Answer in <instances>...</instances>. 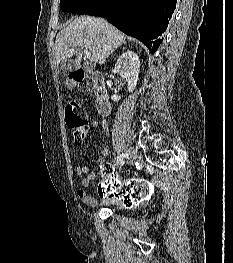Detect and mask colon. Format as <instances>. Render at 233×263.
I'll list each match as a JSON object with an SVG mask.
<instances>
[{
  "label": "colon",
  "instance_id": "colon-1",
  "mask_svg": "<svg viewBox=\"0 0 233 263\" xmlns=\"http://www.w3.org/2000/svg\"><path fill=\"white\" fill-rule=\"evenodd\" d=\"M65 121L73 140L82 142L88 133V120L85 110L76 103H70L65 108ZM104 180L96 188L98 195H108L114 202H123V208H144L146 202L154 198V182H146L145 178H127L126 181L117 180L115 171H100Z\"/></svg>",
  "mask_w": 233,
  "mask_h": 263
}]
</instances>
